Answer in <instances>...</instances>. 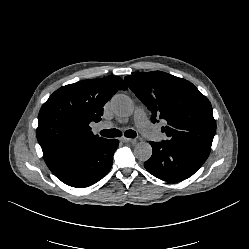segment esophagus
<instances>
[{
  "mask_svg": "<svg viewBox=\"0 0 249 249\" xmlns=\"http://www.w3.org/2000/svg\"><path fill=\"white\" fill-rule=\"evenodd\" d=\"M120 140H121L123 143H134V142H135L134 139L125 138V137L120 138Z\"/></svg>",
  "mask_w": 249,
  "mask_h": 249,
  "instance_id": "34e87169",
  "label": "esophagus"
}]
</instances>
